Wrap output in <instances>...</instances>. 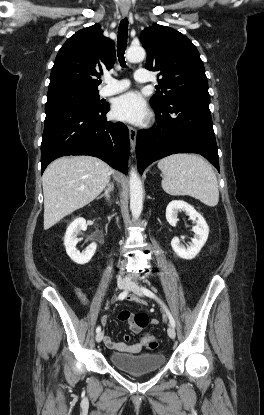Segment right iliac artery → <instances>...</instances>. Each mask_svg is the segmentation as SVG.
Instances as JSON below:
<instances>
[{"mask_svg": "<svg viewBox=\"0 0 264 415\" xmlns=\"http://www.w3.org/2000/svg\"><path fill=\"white\" fill-rule=\"evenodd\" d=\"M127 295H128V291H127V290H124L123 292H121V293L119 294L118 299H119V300H123L124 298H126V297H127ZM100 331H101V327H100V326H97V328H96V333H99Z\"/></svg>", "mask_w": 264, "mask_h": 415, "instance_id": "82829eb1", "label": "right iliac artery"}]
</instances>
